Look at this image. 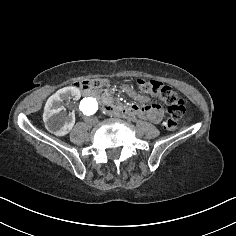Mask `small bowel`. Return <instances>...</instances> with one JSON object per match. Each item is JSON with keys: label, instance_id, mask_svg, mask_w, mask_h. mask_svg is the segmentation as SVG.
<instances>
[{"label": "small bowel", "instance_id": "1", "mask_svg": "<svg viewBox=\"0 0 236 236\" xmlns=\"http://www.w3.org/2000/svg\"><path fill=\"white\" fill-rule=\"evenodd\" d=\"M135 107L137 109V116L141 118H146L153 123H159L162 119L163 112L161 107L157 104Z\"/></svg>", "mask_w": 236, "mask_h": 236}]
</instances>
